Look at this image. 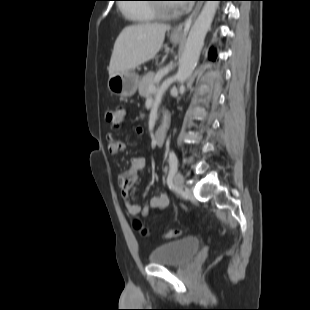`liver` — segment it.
<instances>
[{"label": "liver", "mask_w": 310, "mask_h": 310, "mask_svg": "<svg viewBox=\"0 0 310 310\" xmlns=\"http://www.w3.org/2000/svg\"><path fill=\"white\" fill-rule=\"evenodd\" d=\"M169 25L157 23L125 27L117 37L108 67L109 77L135 69L153 59L161 49Z\"/></svg>", "instance_id": "6515ba94"}]
</instances>
